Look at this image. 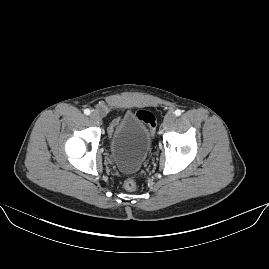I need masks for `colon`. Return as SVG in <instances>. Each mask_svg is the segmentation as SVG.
Here are the masks:
<instances>
[{
	"label": "colon",
	"mask_w": 269,
	"mask_h": 269,
	"mask_svg": "<svg viewBox=\"0 0 269 269\" xmlns=\"http://www.w3.org/2000/svg\"><path fill=\"white\" fill-rule=\"evenodd\" d=\"M136 118L138 121L145 124L151 133L157 128V118L153 112L146 108H140L136 112ZM124 189L131 192L136 190L137 188V181L133 178H127L123 183Z\"/></svg>",
	"instance_id": "1"
}]
</instances>
